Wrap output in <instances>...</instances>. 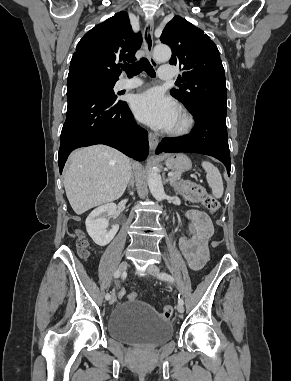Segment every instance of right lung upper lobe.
I'll use <instances>...</instances> for the list:
<instances>
[{
  "label": "right lung upper lobe",
  "mask_w": 291,
  "mask_h": 381,
  "mask_svg": "<svg viewBox=\"0 0 291 381\" xmlns=\"http://www.w3.org/2000/svg\"><path fill=\"white\" fill-rule=\"evenodd\" d=\"M141 44L142 36L133 33L128 14L125 11L116 13L79 41L68 77L115 83L121 73L120 62L135 61V53Z\"/></svg>",
  "instance_id": "cb5924a9"
}]
</instances>
